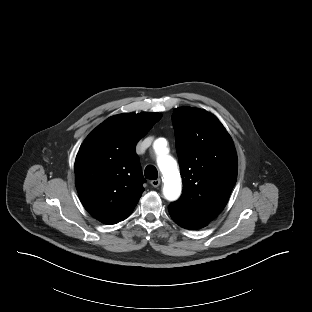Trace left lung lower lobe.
Segmentation results:
<instances>
[{"label": "left lung lower lobe", "instance_id": "0a47b994", "mask_svg": "<svg viewBox=\"0 0 312 312\" xmlns=\"http://www.w3.org/2000/svg\"><path fill=\"white\" fill-rule=\"evenodd\" d=\"M168 210L173 221L183 228L199 229L207 225L206 223L199 222L191 218L185 217L169 207H168Z\"/></svg>", "mask_w": 312, "mask_h": 312}]
</instances>
